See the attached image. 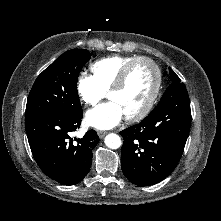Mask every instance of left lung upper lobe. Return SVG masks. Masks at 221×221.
<instances>
[{
	"label": "left lung upper lobe",
	"mask_w": 221,
	"mask_h": 221,
	"mask_svg": "<svg viewBox=\"0 0 221 221\" xmlns=\"http://www.w3.org/2000/svg\"><path fill=\"white\" fill-rule=\"evenodd\" d=\"M169 74H170V79L172 83L168 87V89L165 91L164 95L169 94V93L170 95L172 93L177 94V95H180V94L188 95L184 83L181 82L180 78L175 74V72L171 68H169ZM164 95L162 96L161 99H163Z\"/></svg>",
	"instance_id": "left-lung-upper-lobe-1"
}]
</instances>
